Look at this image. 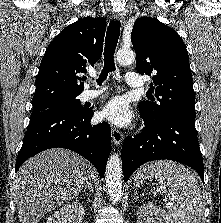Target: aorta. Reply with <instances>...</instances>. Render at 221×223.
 <instances>
[{"instance_id": "aorta-1", "label": "aorta", "mask_w": 221, "mask_h": 223, "mask_svg": "<svg viewBox=\"0 0 221 223\" xmlns=\"http://www.w3.org/2000/svg\"><path fill=\"white\" fill-rule=\"evenodd\" d=\"M116 59L122 65L132 64L135 61V53L132 50L120 49ZM105 181L111 201L118 202L122 197V166L117 154L111 155L107 162Z\"/></svg>"}]
</instances>
